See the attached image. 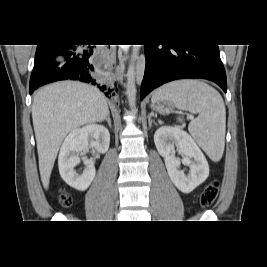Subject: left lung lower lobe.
Returning <instances> with one entry per match:
<instances>
[{
	"mask_svg": "<svg viewBox=\"0 0 267 267\" xmlns=\"http://www.w3.org/2000/svg\"><path fill=\"white\" fill-rule=\"evenodd\" d=\"M146 67L141 100L164 83L183 78H203L227 91L225 69L218 45H144Z\"/></svg>",
	"mask_w": 267,
	"mask_h": 267,
	"instance_id": "left-lung-lower-lobe-1",
	"label": "left lung lower lobe"
}]
</instances>
